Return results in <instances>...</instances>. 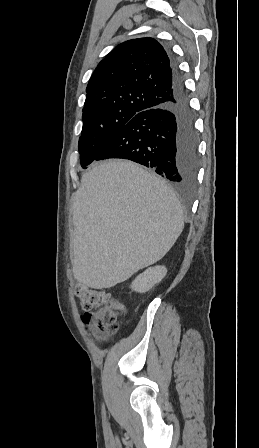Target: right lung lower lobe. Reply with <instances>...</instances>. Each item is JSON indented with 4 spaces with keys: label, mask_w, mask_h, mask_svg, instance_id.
<instances>
[{
    "label": "right lung lower lobe",
    "mask_w": 259,
    "mask_h": 448,
    "mask_svg": "<svg viewBox=\"0 0 259 448\" xmlns=\"http://www.w3.org/2000/svg\"><path fill=\"white\" fill-rule=\"evenodd\" d=\"M173 96L169 102L135 115L97 156L129 159L176 185L194 183L198 167V136L183 78L169 53Z\"/></svg>",
    "instance_id": "98d812e1"
}]
</instances>
